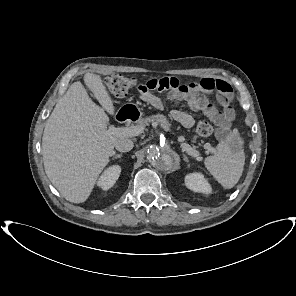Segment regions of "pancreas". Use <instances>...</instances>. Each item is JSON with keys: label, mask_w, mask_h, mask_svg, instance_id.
Returning <instances> with one entry per match:
<instances>
[{"label": "pancreas", "mask_w": 296, "mask_h": 296, "mask_svg": "<svg viewBox=\"0 0 296 296\" xmlns=\"http://www.w3.org/2000/svg\"><path fill=\"white\" fill-rule=\"evenodd\" d=\"M150 123L159 125L165 131L170 130V124L168 123L164 115L157 114V115L146 117L139 121V126L149 125Z\"/></svg>", "instance_id": "1"}]
</instances>
